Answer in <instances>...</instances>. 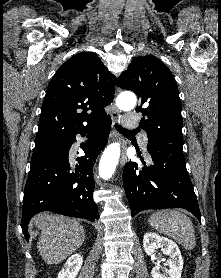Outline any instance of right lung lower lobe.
Wrapping results in <instances>:
<instances>
[{"label": "right lung lower lobe", "mask_w": 221, "mask_h": 278, "mask_svg": "<svg viewBox=\"0 0 221 278\" xmlns=\"http://www.w3.org/2000/svg\"><path fill=\"white\" fill-rule=\"evenodd\" d=\"M111 129L110 116L85 127L52 145L41 158L31 163L24 189L21 227L29 240L28 223L37 213L51 211L66 216L98 220L99 213L92 195L95 188L93 166L106 146ZM88 138L85 156L74 166L68 159L76 135Z\"/></svg>", "instance_id": "1"}]
</instances>
